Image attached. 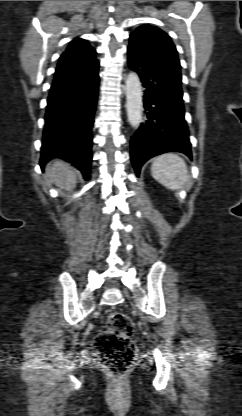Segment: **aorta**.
Instances as JSON below:
<instances>
[{
	"label": "aorta",
	"instance_id": "1",
	"mask_svg": "<svg viewBox=\"0 0 242 416\" xmlns=\"http://www.w3.org/2000/svg\"><path fill=\"white\" fill-rule=\"evenodd\" d=\"M125 94L128 122L133 128H138L142 121L143 92L140 79L135 72H130L127 76Z\"/></svg>",
	"mask_w": 242,
	"mask_h": 416
}]
</instances>
